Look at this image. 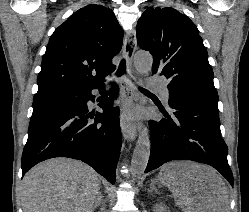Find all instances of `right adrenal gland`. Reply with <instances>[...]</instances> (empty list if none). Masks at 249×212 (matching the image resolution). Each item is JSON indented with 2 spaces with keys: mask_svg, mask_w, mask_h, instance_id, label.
<instances>
[{
  "mask_svg": "<svg viewBox=\"0 0 249 212\" xmlns=\"http://www.w3.org/2000/svg\"><path fill=\"white\" fill-rule=\"evenodd\" d=\"M103 198H104V196H103L102 192H100V188H99L97 198H95L94 206L92 208V212H95V210H97V208H99V206H101Z\"/></svg>",
  "mask_w": 249,
  "mask_h": 212,
  "instance_id": "2a0ac1e0",
  "label": "right adrenal gland"
}]
</instances>
